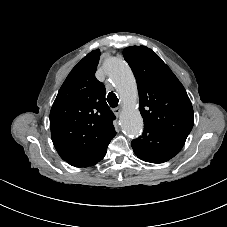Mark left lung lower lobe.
<instances>
[{
  "mask_svg": "<svg viewBox=\"0 0 227 227\" xmlns=\"http://www.w3.org/2000/svg\"><path fill=\"white\" fill-rule=\"evenodd\" d=\"M184 143V141L162 131L144 127L142 135L133 140L131 146L141 160L163 163L178 154Z\"/></svg>",
  "mask_w": 227,
  "mask_h": 227,
  "instance_id": "obj_1",
  "label": "left lung lower lobe"
}]
</instances>
